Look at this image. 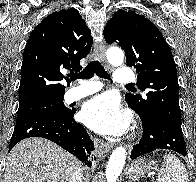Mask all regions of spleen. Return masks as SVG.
Listing matches in <instances>:
<instances>
[{"label":"spleen","mask_w":196,"mask_h":182,"mask_svg":"<svg viewBox=\"0 0 196 182\" xmlns=\"http://www.w3.org/2000/svg\"><path fill=\"white\" fill-rule=\"evenodd\" d=\"M157 182H189L188 172L176 156L166 154L158 173Z\"/></svg>","instance_id":"1"}]
</instances>
